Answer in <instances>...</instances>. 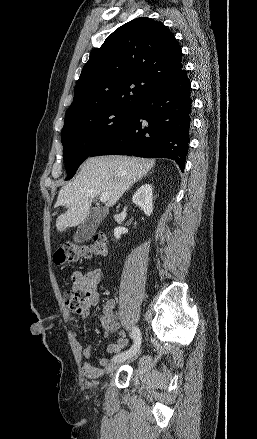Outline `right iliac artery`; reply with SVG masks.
Segmentation results:
<instances>
[{
    "mask_svg": "<svg viewBox=\"0 0 257 439\" xmlns=\"http://www.w3.org/2000/svg\"><path fill=\"white\" fill-rule=\"evenodd\" d=\"M132 338H133V345L130 347V349L117 354L113 357L112 361H117V360H121V359H127L129 357H131L132 355H134L140 348V344H141V333L140 330L137 327H133L132 328V332H131Z\"/></svg>",
    "mask_w": 257,
    "mask_h": 439,
    "instance_id": "1",
    "label": "right iliac artery"
}]
</instances>
